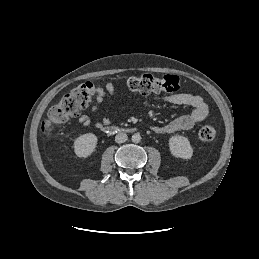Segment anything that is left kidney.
<instances>
[{
    "instance_id": "5707ae66",
    "label": "left kidney",
    "mask_w": 259,
    "mask_h": 259,
    "mask_svg": "<svg viewBox=\"0 0 259 259\" xmlns=\"http://www.w3.org/2000/svg\"><path fill=\"white\" fill-rule=\"evenodd\" d=\"M169 149L174 157L190 159L193 155V149L188 138L180 135L172 136L169 139Z\"/></svg>"
}]
</instances>
